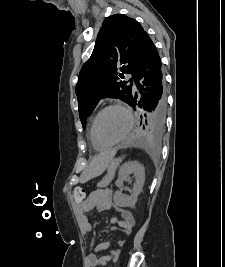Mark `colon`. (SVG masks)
I'll return each instance as SVG.
<instances>
[{
	"label": "colon",
	"mask_w": 225,
	"mask_h": 267,
	"mask_svg": "<svg viewBox=\"0 0 225 267\" xmlns=\"http://www.w3.org/2000/svg\"><path fill=\"white\" fill-rule=\"evenodd\" d=\"M84 198H85V191H84V188L81 187V186H76V187L73 189V199H74L76 202H81V201H83Z\"/></svg>",
	"instance_id": "5ec220e1"
}]
</instances>
